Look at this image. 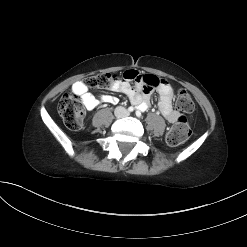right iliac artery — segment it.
<instances>
[{"instance_id":"82829eb1","label":"right iliac artery","mask_w":247,"mask_h":247,"mask_svg":"<svg viewBox=\"0 0 247 247\" xmlns=\"http://www.w3.org/2000/svg\"><path fill=\"white\" fill-rule=\"evenodd\" d=\"M134 110V107H132V106H130L129 108H128V111L129 112H132Z\"/></svg>"}]
</instances>
